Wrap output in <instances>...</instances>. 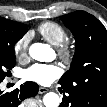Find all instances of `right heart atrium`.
Here are the masks:
<instances>
[{
  "label": "right heart atrium",
  "instance_id": "right-heart-atrium-1",
  "mask_svg": "<svg viewBox=\"0 0 107 107\" xmlns=\"http://www.w3.org/2000/svg\"><path fill=\"white\" fill-rule=\"evenodd\" d=\"M31 41V34L25 33L14 45V52L18 59L25 60L28 58V49Z\"/></svg>",
  "mask_w": 107,
  "mask_h": 107
}]
</instances>
